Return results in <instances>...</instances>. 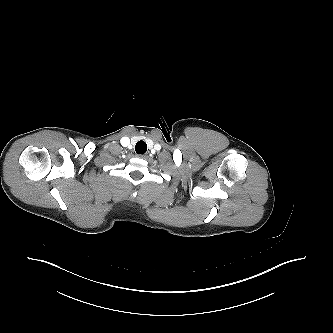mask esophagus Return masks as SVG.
<instances>
[{
	"instance_id": "34e87169",
	"label": "esophagus",
	"mask_w": 333,
	"mask_h": 333,
	"mask_svg": "<svg viewBox=\"0 0 333 333\" xmlns=\"http://www.w3.org/2000/svg\"><path fill=\"white\" fill-rule=\"evenodd\" d=\"M136 156L139 157V158H145L146 157L145 154H137Z\"/></svg>"
}]
</instances>
